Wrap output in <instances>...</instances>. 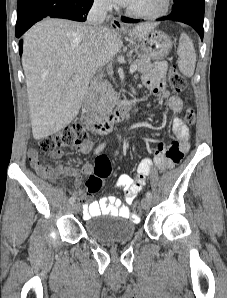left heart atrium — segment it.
<instances>
[{"label":"left heart atrium","mask_w":227,"mask_h":298,"mask_svg":"<svg viewBox=\"0 0 227 298\" xmlns=\"http://www.w3.org/2000/svg\"><path fill=\"white\" fill-rule=\"evenodd\" d=\"M113 2L122 5V6H130L133 0H112Z\"/></svg>","instance_id":"39dd6f15"}]
</instances>
